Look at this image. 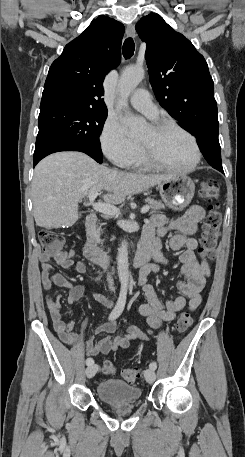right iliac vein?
Listing matches in <instances>:
<instances>
[{"mask_svg":"<svg viewBox=\"0 0 245 457\" xmlns=\"http://www.w3.org/2000/svg\"><path fill=\"white\" fill-rule=\"evenodd\" d=\"M98 370L97 364H91L86 369V375L88 378H92Z\"/></svg>","mask_w":245,"mask_h":457,"instance_id":"right-iliac-vein-1","label":"right iliac vein"}]
</instances>
